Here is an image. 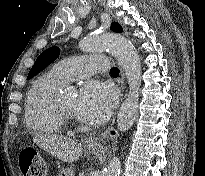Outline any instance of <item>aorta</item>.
Returning <instances> with one entry per match:
<instances>
[{
	"label": "aorta",
	"mask_w": 205,
	"mask_h": 176,
	"mask_svg": "<svg viewBox=\"0 0 205 176\" xmlns=\"http://www.w3.org/2000/svg\"><path fill=\"white\" fill-rule=\"evenodd\" d=\"M79 47L85 52H96L108 49L119 61L125 71L129 84V94L122 103L117 128L124 132L130 129L137 117L139 90L141 85V63L133 44L124 36L114 33L94 34L80 41ZM121 163L114 157L108 164L104 176H119Z\"/></svg>",
	"instance_id": "obj_1"
}]
</instances>
